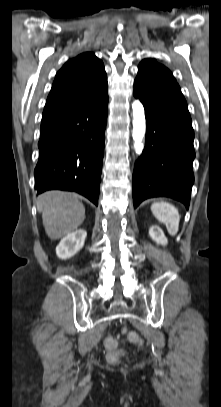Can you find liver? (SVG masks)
<instances>
[{"label":"liver","instance_id":"liver-1","mask_svg":"<svg viewBox=\"0 0 221 407\" xmlns=\"http://www.w3.org/2000/svg\"><path fill=\"white\" fill-rule=\"evenodd\" d=\"M39 207L45 232L51 240L72 233L85 219V208L74 193L45 192L39 196Z\"/></svg>","mask_w":221,"mask_h":407}]
</instances>
